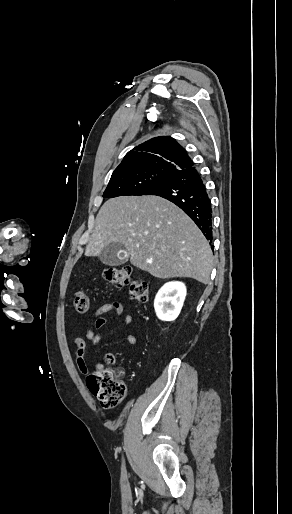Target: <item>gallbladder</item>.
I'll use <instances>...</instances> for the list:
<instances>
[{
    "label": "gallbladder",
    "instance_id": "obj_1",
    "mask_svg": "<svg viewBox=\"0 0 292 514\" xmlns=\"http://www.w3.org/2000/svg\"><path fill=\"white\" fill-rule=\"evenodd\" d=\"M98 258L106 266H121L128 262L129 254L120 242H110L106 244Z\"/></svg>",
    "mask_w": 292,
    "mask_h": 514
}]
</instances>
